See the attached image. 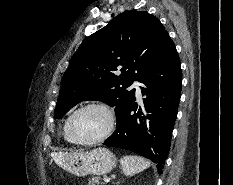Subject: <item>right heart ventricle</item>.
Returning a JSON list of instances; mask_svg holds the SVG:
<instances>
[{
    "mask_svg": "<svg viewBox=\"0 0 233 185\" xmlns=\"http://www.w3.org/2000/svg\"><path fill=\"white\" fill-rule=\"evenodd\" d=\"M66 121H67V120H66ZM66 121H65L64 126H63V136H64V139H65L66 142H68V143H73V142L70 140V138L68 137L67 132H66Z\"/></svg>",
    "mask_w": 233,
    "mask_h": 185,
    "instance_id": "1",
    "label": "right heart ventricle"
}]
</instances>
